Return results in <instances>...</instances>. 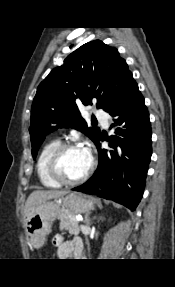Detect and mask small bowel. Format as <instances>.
<instances>
[{"mask_svg":"<svg viewBox=\"0 0 175 287\" xmlns=\"http://www.w3.org/2000/svg\"><path fill=\"white\" fill-rule=\"evenodd\" d=\"M53 244L57 248V255L60 259H68L81 254V242L79 239L65 241L62 235H55Z\"/></svg>","mask_w":175,"mask_h":287,"instance_id":"1","label":"small bowel"}]
</instances>
